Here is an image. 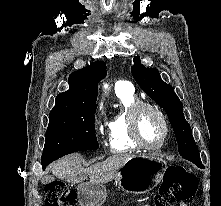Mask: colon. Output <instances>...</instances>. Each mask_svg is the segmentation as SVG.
<instances>
[{
    "label": "colon",
    "instance_id": "obj_1",
    "mask_svg": "<svg viewBox=\"0 0 221 206\" xmlns=\"http://www.w3.org/2000/svg\"><path fill=\"white\" fill-rule=\"evenodd\" d=\"M197 187L198 179L193 173L179 165L170 166L151 205L173 206L177 201L193 197ZM45 206H76V192L61 181H54L47 186Z\"/></svg>",
    "mask_w": 221,
    "mask_h": 206
}]
</instances>
